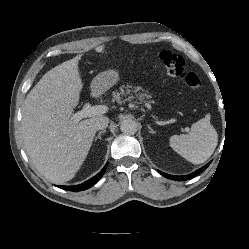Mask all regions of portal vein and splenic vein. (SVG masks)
<instances>
[{
    "label": "portal vein and splenic vein",
    "mask_w": 249,
    "mask_h": 249,
    "mask_svg": "<svg viewBox=\"0 0 249 249\" xmlns=\"http://www.w3.org/2000/svg\"><path fill=\"white\" fill-rule=\"evenodd\" d=\"M108 111V107L105 105L91 106L89 103L85 104L83 109L76 112L71 116L73 122H79L83 118L92 117L100 114H104Z\"/></svg>",
    "instance_id": "18ae733b"
}]
</instances>
